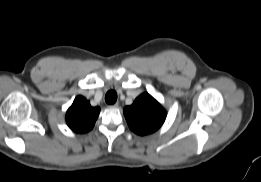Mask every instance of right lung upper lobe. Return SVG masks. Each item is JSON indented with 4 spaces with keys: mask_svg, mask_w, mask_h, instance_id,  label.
<instances>
[{
    "mask_svg": "<svg viewBox=\"0 0 261 182\" xmlns=\"http://www.w3.org/2000/svg\"><path fill=\"white\" fill-rule=\"evenodd\" d=\"M99 113V107H92L84 97L77 96L67 110L66 122L74 132L85 133L93 128Z\"/></svg>",
    "mask_w": 261,
    "mask_h": 182,
    "instance_id": "obj_1",
    "label": "right lung upper lobe"
}]
</instances>
